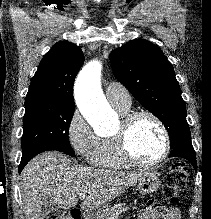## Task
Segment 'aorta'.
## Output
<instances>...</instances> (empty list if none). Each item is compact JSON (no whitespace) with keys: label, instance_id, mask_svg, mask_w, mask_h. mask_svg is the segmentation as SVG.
I'll list each match as a JSON object with an SVG mask.
<instances>
[{"label":"aorta","instance_id":"obj_1","mask_svg":"<svg viewBox=\"0 0 211 219\" xmlns=\"http://www.w3.org/2000/svg\"><path fill=\"white\" fill-rule=\"evenodd\" d=\"M102 65L99 61L89 62L79 73L75 88L76 104L84 118L94 127L96 133L114 119L100 85Z\"/></svg>","mask_w":211,"mask_h":219}]
</instances>
